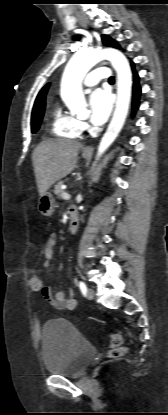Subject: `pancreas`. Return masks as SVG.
<instances>
[{
  "label": "pancreas",
  "instance_id": "obj_1",
  "mask_svg": "<svg viewBox=\"0 0 168 415\" xmlns=\"http://www.w3.org/2000/svg\"><path fill=\"white\" fill-rule=\"evenodd\" d=\"M64 184L63 181H60L57 183V185L55 186L54 189V194L58 197L61 198L62 197V193L64 192V190L62 189V185Z\"/></svg>",
  "mask_w": 168,
  "mask_h": 415
}]
</instances>
